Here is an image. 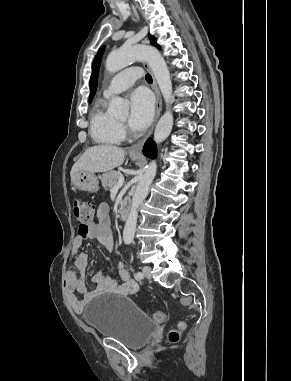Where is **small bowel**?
<instances>
[{"label":"small bowel","instance_id":"1","mask_svg":"<svg viewBox=\"0 0 291 381\" xmlns=\"http://www.w3.org/2000/svg\"><path fill=\"white\" fill-rule=\"evenodd\" d=\"M97 217L98 221L92 222L87 229H82L79 226L78 233L73 241L72 258L74 267L82 276H78L77 272L73 269L67 270L65 274L64 287L67 299L76 313L83 312L92 300L103 294L130 296L136 294L139 290L138 283L130 277L124 264L119 263L117 274L121 283L111 279L104 271H98L94 276V282L97 284L96 288L91 292L86 291L83 275L88 269L89 258L87 254L79 251L81 244L87 239H95L108 251H112L114 248L108 207L105 204L99 206ZM77 293L82 294L83 297L79 299L76 295Z\"/></svg>","mask_w":291,"mask_h":381}]
</instances>
